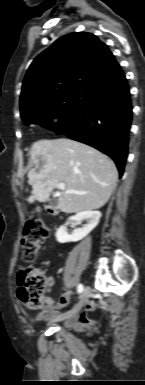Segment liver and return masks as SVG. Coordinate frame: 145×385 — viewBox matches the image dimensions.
Segmentation results:
<instances>
[{"label": "liver", "instance_id": "6515ba94", "mask_svg": "<svg viewBox=\"0 0 145 385\" xmlns=\"http://www.w3.org/2000/svg\"><path fill=\"white\" fill-rule=\"evenodd\" d=\"M28 183L33 194L28 201L47 202L57 183H65L58 198L64 213L99 209L111 197L118 179L114 162L105 154L81 142L60 138L39 140L31 147ZM66 190L84 194L66 193Z\"/></svg>", "mask_w": 145, "mask_h": 385}]
</instances>
